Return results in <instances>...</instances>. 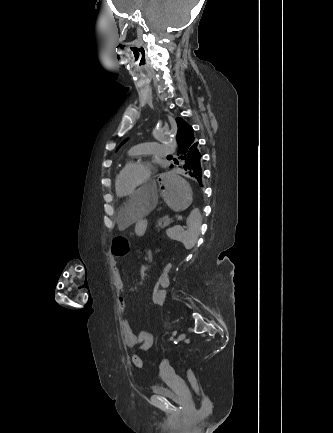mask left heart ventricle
I'll return each mask as SVG.
<instances>
[{
    "label": "left heart ventricle",
    "instance_id": "obj_1",
    "mask_svg": "<svg viewBox=\"0 0 333 433\" xmlns=\"http://www.w3.org/2000/svg\"><path fill=\"white\" fill-rule=\"evenodd\" d=\"M146 171L136 167L126 171L119 180V189L123 194L133 191L144 179Z\"/></svg>",
    "mask_w": 333,
    "mask_h": 433
}]
</instances>
